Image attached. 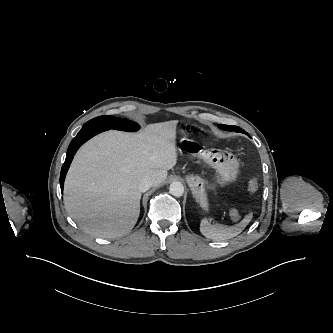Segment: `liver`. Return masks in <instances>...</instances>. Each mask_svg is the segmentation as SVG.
I'll return each instance as SVG.
<instances>
[{
	"mask_svg": "<svg viewBox=\"0 0 333 333\" xmlns=\"http://www.w3.org/2000/svg\"><path fill=\"white\" fill-rule=\"evenodd\" d=\"M177 121L147 125L139 133L111 130L86 142L77 152L64 184L71 218L100 238L121 237L140 214L139 182L157 186L177 162Z\"/></svg>",
	"mask_w": 333,
	"mask_h": 333,
	"instance_id": "1",
	"label": "liver"
}]
</instances>
